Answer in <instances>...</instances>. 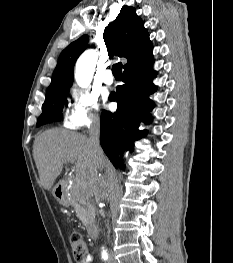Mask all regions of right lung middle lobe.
<instances>
[{
  "label": "right lung middle lobe",
  "mask_w": 233,
  "mask_h": 263,
  "mask_svg": "<svg viewBox=\"0 0 233 263\" xmlns=\"http://www.w3.org/2000/svg\"><path fill=\"white\" fill-rule=\"evenodd\" d=\"M68 93L69 89H61L46 95L37 126L62 119V109Z\"/></svg>",
  "instance_id": "right-lung-middle-lobe-1"
}]
</instances>
